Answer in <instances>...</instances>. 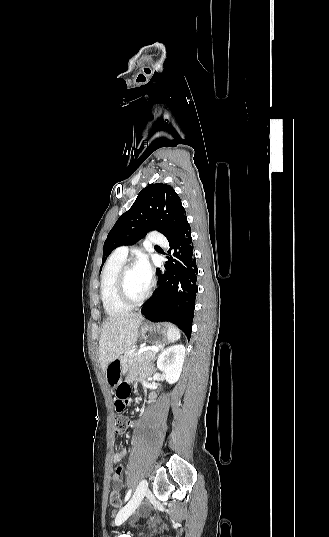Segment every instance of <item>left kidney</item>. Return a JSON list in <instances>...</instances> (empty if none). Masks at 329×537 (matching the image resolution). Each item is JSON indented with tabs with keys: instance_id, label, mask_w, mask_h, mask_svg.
<instances>
[{
	"instance_id": "obj_1",
	"label": "left kidney",
	"mask_w": 329,
	"mask_h": 537,
	"mask_svg": "<svg viewBox=\"0 0 329 537\" xmlns=\"http://www.w3.org/2000/svg\"><path fill=\"white\" fill-rule=\"evenodd\" d=\"M186 348L184 345H173L165 349L158 357L157 367L164 372L165 379L169 384L178 381L184 359Z\"/></svg>"
}]
</instances>
